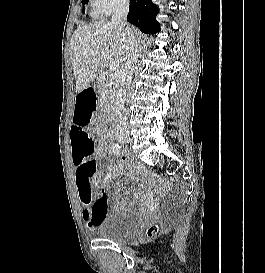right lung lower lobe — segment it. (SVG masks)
Wrapping results in <instances>:
<instances>
[{
    "mask_svg": "<svg viewBox=\"0 0 265 273\" xmlns=\"http://www.w3.org/2000/svg\"><path fill=\"white\" fill-rule=\"evenodd\" d=\"M158 8L151 0H130L127 20L144 33H157L160 31L156 21Z\"/></svg>",
    "mask_w": 265,
    "mask_h": 273,
    "instance_id": "obj_1",
    "label": "right lung lower lobe"
}]
</instances>
